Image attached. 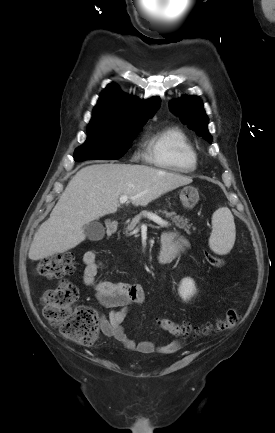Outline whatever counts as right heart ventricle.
I'll list each match as a JSON object with an SVG mask.
<instances>
[{"mask_svg":"<svg viewBox=\"0 0 275 433\" xmlns=\"http://www.w3.org/2000/svg\"><path fill=\"white\" fill-rule=\"evenodd\" d=\"M146 157L156 166L177 172H191L197 166V153L191 141L176 126L161 129L150 137Z\"/></svg>","mask_w":275,"mask_h":433,"instance_id":"e07e8e85","label":"right heart ventricle"}]
</instances>
